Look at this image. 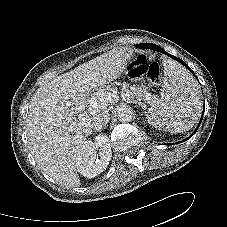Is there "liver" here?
Returning a JSON list of instances; mask_svg holds the SVG:
<instances>
[{
  "mask_svg": "<svg viewBox=\"0 0 227 227\" xmlns=\"http://www.w3.org/2000/svg\"><path fill=\"white\" fill-rule=\"evenodd\" d=\"M131 54V49L114 48L54 78L31 98L26 121L31 153L47 175L67 188L81 185L78 152L92 133L93 118L113 102L102 87L122 74ZM85 109L92 115L88 123L71 128Z\"/></svg>",
  "mask_w": 227,
  "mask_h": 227,
  "instance_id": "obj_1",
  "label": "liver"
}]
</instances>
